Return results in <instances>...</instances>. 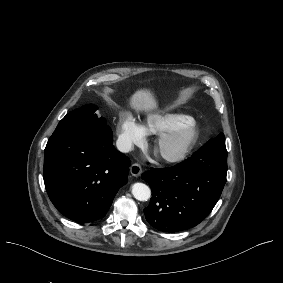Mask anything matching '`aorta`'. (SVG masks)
Segmentation results:
<instances>
[{
  "instance_id": "1",
  "label": "aorta",
  "mask_w": 283,
  "mask_h": 283,
  "mask_svg": "<svg viewBox=\"0 0 283 283\" xmlns=\"http://www.w3.org/2000/svg\"><path fill=\"white\" fill-rule=\"evenodd\" d=\"M132 194L139 201H147L151 197V190L144 183H135L132 185Z\"/></svg>"
}]
</instances>
